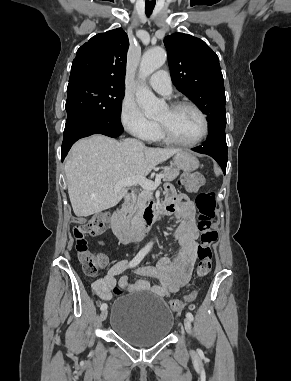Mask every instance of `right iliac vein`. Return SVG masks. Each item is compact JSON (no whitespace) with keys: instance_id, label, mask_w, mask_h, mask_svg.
Listing matches in <instances>:
<instances>
[{"instance_id":"1","label":"right iliac vein","mask_w":291,"mask_h":381,"mask_svg":"<svg viewBox=\"0 0 291 381\" xmlns=\"http://www.w3.org/2000/svg\"><path fill=\"white\" fill-rule=\"evenodd\" d=\"M107 315H108V311H107L106 309L103 310V311L101 312V314H100V319H101V321L106 320Z\"/></svg>"}]
</instances>
